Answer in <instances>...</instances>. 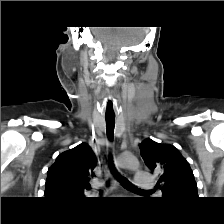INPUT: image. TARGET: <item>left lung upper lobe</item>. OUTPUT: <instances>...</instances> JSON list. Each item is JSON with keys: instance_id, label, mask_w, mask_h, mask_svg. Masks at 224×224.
<instances>
[{"instance_id": "1", "label": "left lung upper lobe", "mask_w": 224, "mask_h": 224, "mask_svg": "<svg viewBox=\"0 0 224 224\" xmlns=\"http://www.w3.org/2000/svg\"><path fill=\"white\" fill-rule=\"evenodd\" d=\"M141 156L148 168L160 172L157 185L167 199L196 198L197 184L187 160L169 144H160L150 138L140 145Z\"/></svg>"}]
</instances>
